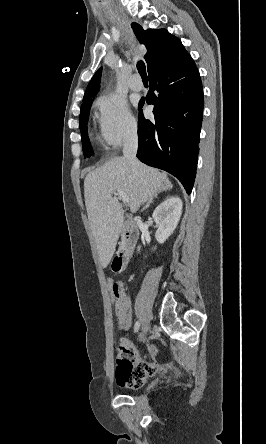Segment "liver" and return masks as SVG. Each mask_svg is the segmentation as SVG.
<instances>
[{"mask_svg":"<svg viewBox=\"0 0 266 444\" xmlns=\"http://www.w3.org/2000/svg\"><path fill=\"white\" fill-rule=\"evenodd\" d=\"M167 182L165 174L142 163L135 173L124 157L112 158L88 173L84 180L85 204L103 268L114 255L124 221L122 205L113 194L124 191L135 213L142 203L172 188Z\"/></svg>","mask_w":266,"mask_h":444,"instance_id":"obj_1","label":"liver"}]
</instances>
